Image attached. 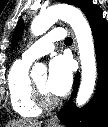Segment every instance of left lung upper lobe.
Returning a JSON list of instances; mask_svg holds the SVG:
<instances>
[{
    "instance_id": "left-lung-upper-lobe-1",
    "label": "left lung upper lobe",
    "mask_w": 108,
    "mask_h": 127,
    "mask_svg": "<svg viewBox=\"0 0 108 127\" xmlns=\"http://www.w3.org/2000/svg\"><path fill=\"white\" fill-rule=\"evenodd\" d=\"M60 1L79 7L84 0H60ZM23 30H24V22L23 20H19L12 36L11 50H13L14 47L17 45L18 40L20 39L23 33Z\"/></svg>"
}]
</instances>
